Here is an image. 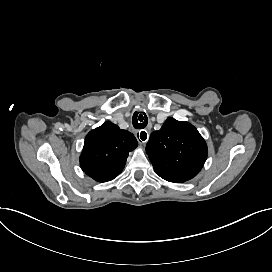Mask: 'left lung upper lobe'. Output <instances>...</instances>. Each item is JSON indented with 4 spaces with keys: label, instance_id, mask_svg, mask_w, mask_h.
Masks as SVG:
<instances>
[{
    "label": "left lung upper lobe",
    "instance_id": "left-lung-upper-lobe-1",
    "mask_svg": "<svg viewBox=\"0 0 272 272\" xmlns=\"http://www.w3.org/2000/svg\"><path fill=\"white\" fill-rule=\"evenodd\" d=\"M146 152L155 172L169 182L181 183L195 177L207 158V145L190 123L168 118L154 131Z\"/></svg>",
    "mask_w": 272,
    "mask_h": 272
}]
</instances>
